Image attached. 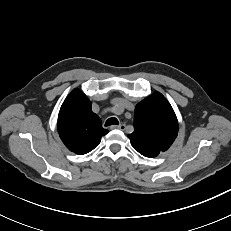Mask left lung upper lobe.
I'll return each instance as SVG.
<instances>
[{
    "instance_id": "1",
    "label": "left lung upper lobe",
    "mask_w": 231,
    "mask_h": 231,
    "mask_svg": "<svg viewBox=\"0 0 231 231\" xmlns=\"http://www.w3.org/2000/svg\"><path fill=\"white\" fill-rule=\"evenodd\" d=\"M178 133L175 112L159 92L136 105L134 132L129 134L133 148L145 157H156L166 151Z\"/></svg>"
}]
</instances>
